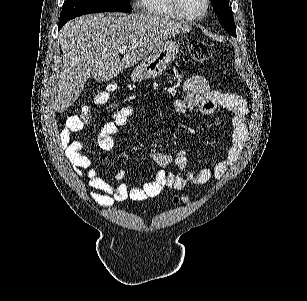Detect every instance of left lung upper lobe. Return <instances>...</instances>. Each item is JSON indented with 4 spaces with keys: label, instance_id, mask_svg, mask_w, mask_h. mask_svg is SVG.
I'll list each match as a JSON object with an SVG mask.
<instances>
[{
    "label": "left lung upper lobe",
    "instance_id": "left-lung-upper-lobe-1",
    "mask_svg": "<svg viewBox=\"0 0 307 301\" xmlns=\"http://www.w3.org/2000/svg\"><path fill=\"white\" fill-rule=\"evenodd\" d=\"M213 10L219 18L222 27L232 36L236 37V26L234 23L233 13L229 8L228 0H211Z\"/></svg>",
    "mask_w": 307,
    "mask_h": 301
}]
</instances>
